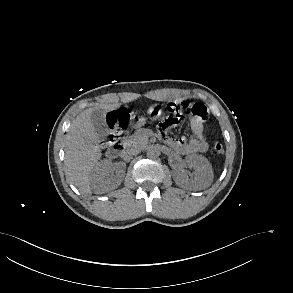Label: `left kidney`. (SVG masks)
I'll return each mask as SVG.
<instances>
[{
    "label": "left kidney",
    "mask_w": 293,
    "mask_h": 293,
    "mask_svg": "<svg viewBox=\"0 0 293 293\" xmlns=\"http://www.w3.org/2000/svg\"><path fill=\"white\" fill-rule=\"evenodd\" d=\"M189 167H193L194 178L189 179L181 170L173 171V179L180 187H191L195 190H201L209 187L213 181V170L209 161L202 157H190L186 159Z\"/></svg>",
    "instance_id": "left-kidney-1"
}]
</instances>
